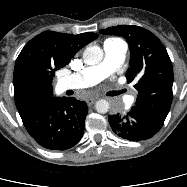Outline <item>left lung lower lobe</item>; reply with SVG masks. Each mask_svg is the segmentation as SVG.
<instances>
[{"instance_id":"left-lung-lower-lobe-1","label":"left lung lower lobe","mask_w":187,"mask_h":187,"mask_svg":"<svg viewBox=\"0 0 187 187\" xmlns=\"http://www.w3.org/2000/svg\"><path fill=\"white\" fill-rule=\"evenodd\" d=\"M164 120V118L153 115L137 106H133L125 116L109 115V124L113 132L130 141L151 138L161 129Z\"/></svg>"}]
</instances>
